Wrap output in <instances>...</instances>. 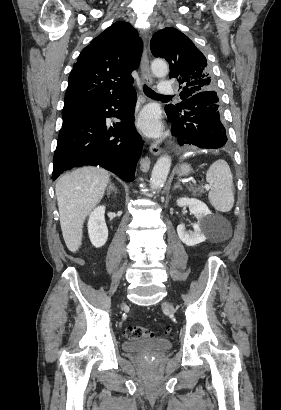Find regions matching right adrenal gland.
I'll use <instances>...</instances> for the list:
<instances>
[{"mask_svg": "<svg viewBox=\"0 0 281 410\" xmlns=\"http://www.w3.org/2000/svg\"><path fill=\"white\" fill-rule=\"evenodd\" d=\"M114 191L117 194V189L114 184L110 183L109 187L107 188V194H111V192Z\"/></svg>", "mask_w": 281, "mask_h": 410, "instance_id": "1", "label": "right adrenal gland"}]
</instances>
